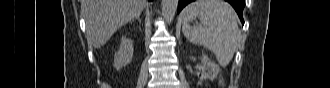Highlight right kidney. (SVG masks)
Wrapping results in <instances>:
<instances>
[{
	"instance_id": "1",
	"label": "right kidney",
	"mask_w": 330,
	"mask_h": 88,
	"mask_svg": "<svg viewBox=\"0 0 330 88\" xmlns=\"http://www.w3.org/2000/svg\"><path fill=\"white\" fill-rule=\"evenodd\" d=\"M133 57V41L131 39H123L120 43L119 50L114 55V67L120 69L129 64Z\"/></svg>"
}]
</instances>
